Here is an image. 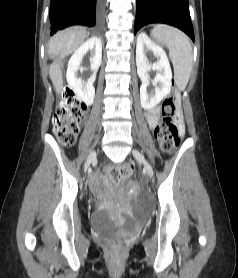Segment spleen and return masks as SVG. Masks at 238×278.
<instances>
[{
  "label": "spleen",
  "instance_id": "3e777b00",
  "mask_svg": "<svg viewBox=\"0 0 238 278\" xmlns=\"http://www.w3.org/2000/svg\"><path fill=\"white\" fill-rule=\"evenodd\" d=\"M151 35L169 49L175 83L178 89L183 91L188 84L193 63L189 38L182 31L167 25H156L151 31Z\"/></svg>",
  "mask_w": 238,
  "mask_h": 278
}]
</instances>
